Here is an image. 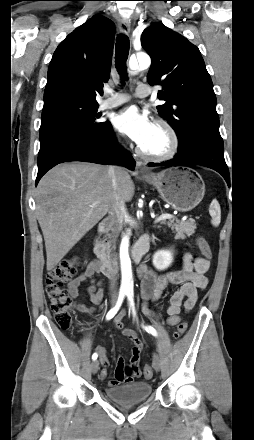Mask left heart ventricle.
Listing matches in <instances>:
<instances>
[{"mask_svg": "<svg viewBox=\"0 0 254 440\" xmlns=\"http://www.w3.org/2000/svg\"><path fill=\"white\" fill-rule=\"evenodd\" d=\"M168 145L169 138L166 132L162 128L154 126L151 135L141 145V148L148 153H161L167 149Z\"/></svg>", "mask_w": 254, "mask_h": 440, "instance_id": "left-heart-ventricle-1", "label": "left heart ventricle"}]
</instances>
